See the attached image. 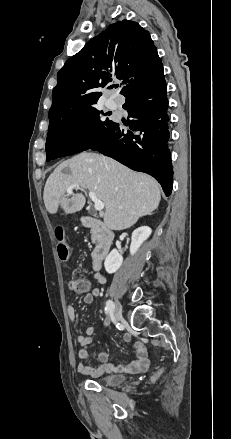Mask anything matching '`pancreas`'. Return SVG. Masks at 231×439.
<instances>
[{
  "label": "pancreas",
  "mask_w": 231,
  "mask_h": 439,
  "mask_svg": "<svg viewBox=\"0 0 231 439\" xmlns=\"http://www.w3.org/2000/svg\"><path fill=\"white\" fill-rule=\"evenodd\" d=\"M91 240H92L93 243L98 242L99 241L98 235L95 234V233H92Z\"/></svg>",
  "instance_id": "pancreas-1"
}]
</instances>
